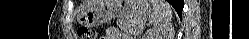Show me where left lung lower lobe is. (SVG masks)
<instances>
[{
  "instance_id": "left-lung-lower-lobe-1",
  "label": "left lung lower lobe",
  "mask_w": 249,
  "mask_h": 39,
  "mask_svg": "<svg viewBox=\"0 0 249 39\" xmlns=\"http://www.w3.org/2000/svg\"><path fill=\"white\" fill-rule=\"evenodd\" d=\"M168 1L175 8L179 17L182 18V10H183V6H184V0H168Z\"/></svg>"
}]
</instances>
